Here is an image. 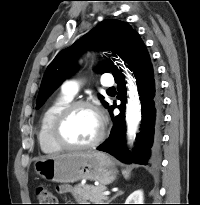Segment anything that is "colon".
<instances>
[{"label": "colon", "mask_w": 200, "mask_h": 205, "mask_svg": "<svg viewBox=\"0 0 200 205\" xmlns=\"http://www.w3.org/2000/svg\"><path fill=\"white\" fill-rule=\"evenodd\" d=\"M36 197L40 203L38 205H56V197L47 186H38L36 188Z\"/></svg>", "instance_id": "obj_1"}]
</instances>
